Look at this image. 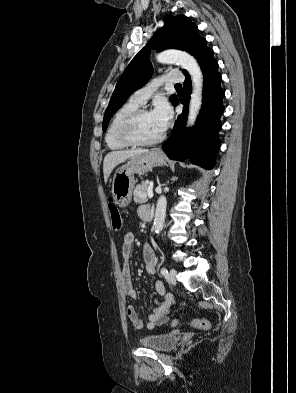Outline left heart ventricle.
I'll return each mask as SVG.
<instances>
[{"instance_id":"b2bd125f","label":"left heart ventricle","mask_w":296,"mask_h":393,"mask_svg":"<svg viewBox=\"0 0 296 393\" xmlns=\"http://www.w3.org/2000/svg\"><path fill=\"white\" fill-rule=\"evenodd\" d=\"M161 133L162 130L158 126L152 112L142 115L134 129L135 137L144 141L153 139Z\"/></svg>"}]
</instances>
